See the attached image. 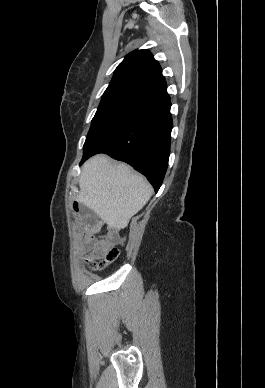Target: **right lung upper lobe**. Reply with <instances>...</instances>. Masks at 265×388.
<instances>
[{
    "label": "right lung upper lobe",
    "mask_w": 265,
    "mask_h": 388,
    "mask_svg": "<svg viewBox=\"0 0 265 388\" xmlns=\"http://www.w3.org/2000/svg\"><path fill=\"white\" fill-rule=\"evenodd\" d=\"M166 91V81L158 61L148 50H136L115 69L104 93L129 94L149 101Z\"/></svg>",
    "instance_id": "cb5924a9"
}]
</instances>
